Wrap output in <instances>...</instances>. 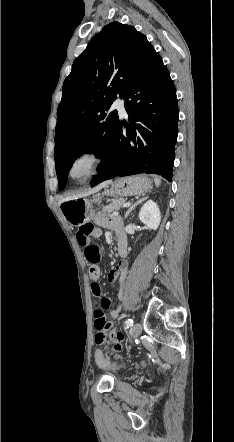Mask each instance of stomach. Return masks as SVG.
Listing matches in <instances>:
<instances>
[{
  "instance_id": "obj_1",
  "label": "stomach",
  "mask_w": 234,
  "mask_h": 442,
  "mask_svg": "<svg viewBox=\"0 0 234 442\" xmlns=\"http://www.w3.org/2000/svg\"><path fill=\"white\" fill-rule=\"evenodd\" d=\"M152 188V182L145 176H131L119 178L112 183L111 188L106 191L111 196H130L145 194ZM101 202V195H94L93 198L79 197L65 201L60 208L65 219L71 225H83L90 222L95 216L94 204Z\"/></svg>"
}]
</instances>
